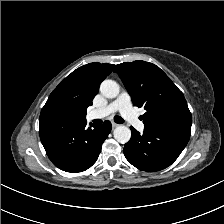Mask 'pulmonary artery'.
Listing matches in <instances>:
<instances>
[{"mask_svg":"<svg viewBox=\"0 0 224 224\" xmlns=\"http://www.w3.org/2000/svg\"><path fill=\"white\" fill-rule=\"evenodd\" d=\"M114 112H119L123 116V118L127 120L132 126H134L137 130H144L145 125L137 118L131 106L130 96L125 91L120 93V95L107 106L94 111L93 117L101 118Z\"/></svg>","mask_w":224,"mask_h":224,"instance_id":"e3ab8cb5","label":"pulmonary artery"}]
</instances>
